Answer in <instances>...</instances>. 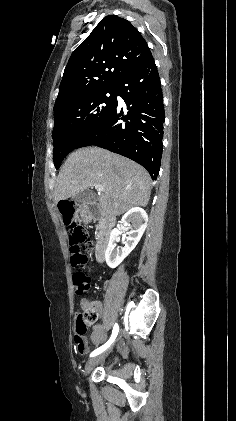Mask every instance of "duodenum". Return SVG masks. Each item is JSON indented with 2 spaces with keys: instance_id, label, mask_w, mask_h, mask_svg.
Here are the masks:
<instances>
[{
  "instance_id": "1",
  "label": "duodenum",
  "mask_w": 236,
  "mask_h": 421,
  "mask_svg": "<svg viewBox=\"0 0 236 421\" xmlns=\"http://www.w3.org/2000/svg\"><path fill=\"white\" fill-rule=\"evenodd\" d=\"M81 217L84 223L92 221L99 222V233L95 247V257L98 262H103L112 237L115 226V217L109 213L103 212L97 203L84 202L79 205ZM104 338V328L98 330L95 342H100Z\"/></svg>"
}]
</instances>
